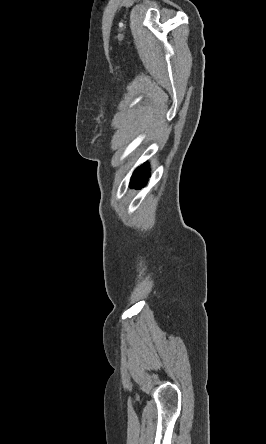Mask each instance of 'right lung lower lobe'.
Wrapping results in <instances>:
<instances>
[{
	"label": "right lung lower lobe",
	"mask_w": 266,
	"mask_h": 444,
	"mask_svg": "<svg viewBox=\"0 0 266 444\" xmlns=\"http://www.w3.org/2000/svg\"><path fill=\"white\" fill-rule=\"evenodd\" d=\"M148 177H149L148 164L144 163L134 171L131 178L130 186L141 188L142 186L145 185Z\"/></svg>",
	"instance_id": "1"
}]
</instances>
